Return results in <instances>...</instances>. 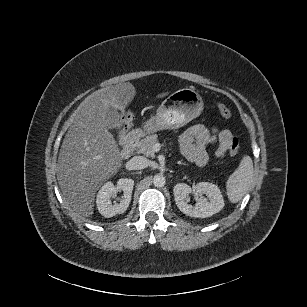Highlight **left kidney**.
Instances as JSON below:
<instances>
[{"instance_id": "1", "label": "left kidney", "mask_w": 307, "mask_h": 307, "mask_svg": "<svg viewBox=\"0 0 307 307\" xmlns=\"http://www.w3.org/2000/svg\"><path fill=\"white\" fill-rule=\"evenodd\" d=\"M198 193H207L209 202L205 198H197L194 205L188 203L191 192L187 184H177L174 188V197L179 209L192 217H209L224 208L225 202L219 187L211 182H200L196 186Z\"/></svg>"}]
</instances>
